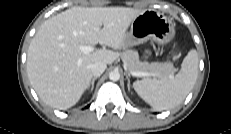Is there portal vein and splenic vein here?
I'll list each match as a JSON object with an SVG mask.
<instances>
[{"label":"portal vein and splenic vein","mask_w":231,"mask_h":134,"mask_svg":"<svg viewBox=\"0 0 231 134\" xmlns=\"http://www.w3.org/2000/svg\"><path fill=\"white\" fill-rule=\"evenodd\" d=\"M80 50L85 53L88 54L90 52H93L95 50V47L93 46H80ZM132 76L135 77H146V76H151L153 74H150L148 72H131Z\"/></svg>","instance_id":"portal-vein-and-splenic-vein-1"}]
</instances>
